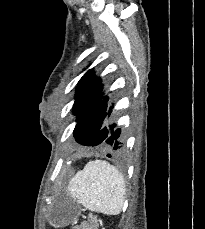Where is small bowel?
Masks as SVG:
<instances>
[{"label":"small bowel","instance_id":"c3829d8e","mask_svg":"<svg viewBox=\"0 0 205 229\" xmlns=\"http://www.w3.org/2000/svg\"><path fill=\"white\" fill-rule=\"evenodd\" d=\"M74 229H96V228L84 223V224L76 226Z\"/></svg>","mask_w":205,"mask_h":229}]
</instances>
